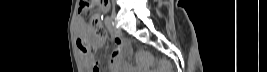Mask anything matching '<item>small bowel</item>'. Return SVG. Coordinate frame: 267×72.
Listing matches in <instances>:
<instances>
[{
  "label": "small bowel",
  "mask_w": 267,
  "mask_h": 72,
  "mask_svg": "<svg viewBox=\"0 0 267 72\" xmlns=\"http://www.w3.org/2000/svg\"><path fill=\"white\" fill-rule=\"evenodd\" d=\"M102 10L108 11L109 10V4L108 3L103 4L102 5ZM104 42H105V38H103V39H94L93 46L95 48H98V47L102 46L104 44ZM114 42H115V44L117 46V49L114 50L113 56H116L118 51H119V47L122 44V39L119 36H115L114 37ZM82 59H83L84 63L87 65L89 62L92 61L93 55L92 54H83L82 55Z\"/></svg>",
  "instance_id": "1"
}]
</instances>
